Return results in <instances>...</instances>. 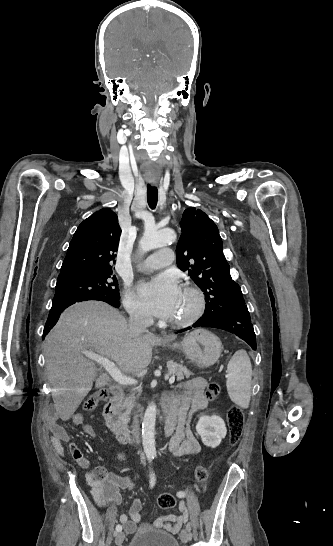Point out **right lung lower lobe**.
<instances>
[{"label":"right lung lower lobe","mask_w":333,"mask_h":546,"mask_svg":"<svg viewBox=\"0 0 333 546\" xmlns=\"http://www.w3.org/2000/svg\"><path fill=\"white\" fill-rule=\"evenodd\" d=\"M86 300H99L104 301L116 308L120 306L119 299L109 297V296H100V297H91V298H85V299H79V300H72L67 302H57L53 303L52 308L50 309V313L47 319V322L44 327L43 331V339L48 334V332L53 328V326L56 324L60 314L70 305L80 302V301H86Z\"/></svg>","instance_id":"obj_1"}]
</instances>
